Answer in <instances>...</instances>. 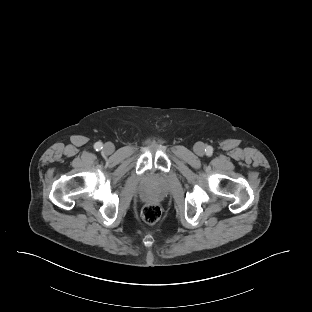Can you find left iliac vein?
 Instances as JSON below:
<instances>
[{"mask_svg": "<svg viewBox=\"0 0 312 312\" xmlns=\"http://www.w3.org/2000/svg\"><path fill=\"white\" fill-rule=\"evenodd\" d=\"M204 151H205V146L203 143L201 142H198L195 144L194 146V152L199 155V156H202L204 154Z\"/></svg>", "mask_w": 312, "mask_h": 312, "instance_id": "left-iliac-vein-1", "label": "left iliac vein"}]
</instances>
